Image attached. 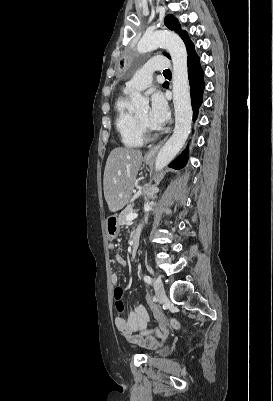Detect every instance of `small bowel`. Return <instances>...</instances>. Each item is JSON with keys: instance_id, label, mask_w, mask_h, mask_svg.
<instances>
[{"instance_id": "1", "label": "small bowel", "mask_w": 273, "mask_h": 401, "mask_svg": "<svg viewBox=\"0 0 273 401\" xmlns=\"http://www.w3.org/2000/svg\"><path fill=\"white\" fill-rule=\"evenodd\" d=\"M113 264L115 268L118 270L126 264L125 258L117 254L113 259ZM111 281L113 285H118L119 276L115 271L111 276ZM152 317L158 318L162 314L159 311L158 305L152 306ZM165 315V314H163ZM167 315V314H166ZM184 322V321H183ZM150 323V315L146 307L142 304H135L132 310L129 312L127 317H116L114 320V325L117 331L126 339L127 344L129 345H142L144 344L146 347L153 348L158 345L159 341H164L166 336H169L172 333L171 327H160L161 325L167 324L166 318H159L158 320V328L153 332L144 333L142 336H133L137 333H143L148 329ZM174 327L177 328V333H182L184 330L180 327L181 320L178 318H174L172 320ZM182 326V325H181ZM186 326V325H185Z\"/></svg>"}]
</instances>
